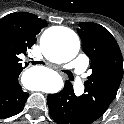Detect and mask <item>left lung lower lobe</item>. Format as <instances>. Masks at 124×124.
<instances>
[{
	"label": "left lung lower lobe",
	"mask_w": 124,
	"mask_h": 124,
	"mask_svg": "<svg viewBox=\"0 0 124 124\" xmlns=\"http://www.w3.org/2000/svg\"><path fill=\"white\" fill-rule=\"evenodd\" d=\"M47 102L50 115L58 124H91L69 81L62 91L48 95Z\"/></svg>",
	"instance_id": "1"
}]
</instances>
